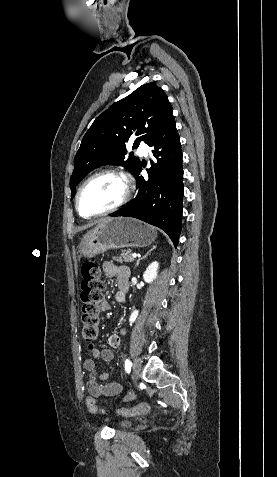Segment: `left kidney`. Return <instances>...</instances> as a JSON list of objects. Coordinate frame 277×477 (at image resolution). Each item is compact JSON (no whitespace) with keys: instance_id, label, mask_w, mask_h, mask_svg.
Masks as SVG:
<instances>
[{"instance_id":"1","label":"left kidney","mask_w":277,"mask_h":477,"mask_svg":"<svg viewBox=\"0 0 277 477\" xmlns=\"http://www.w3.org/2000/svg\"><path fill=\"white\" fill-rule=\"evenodd\" d=\"M158 267H159V264H158V262H156V261H155V262H152V263L147 267L146 271H145L144 274H143V279H144L145 282L151 283V282L154 281V279H156ZM138 313H139V311H138V310H135V311L131 314V316H130V318H129V322H130V323H134V322H135V320H136V318H137V316H138Z\"/></svg>"}]
</instances>
